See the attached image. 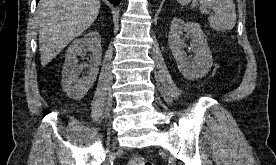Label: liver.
Instances as JSON below:
<instances>
[{"instance_id":"obj_1","label":"liver","mask_w":276,"mask_h":165,"mask_svg":"<svg viewBox=\"0 0 276 165\" xmlns=\"http://www.w3.org/2000/svg\"><path fill=\"white\" fill-rule=\"evenodd\" d=\"M99 0H40L37 7L41 65L46 66L96 20Z\"/></svg>"}]
</instances>
